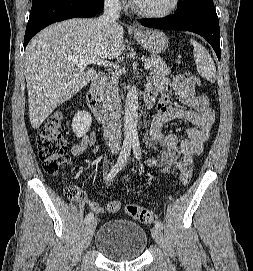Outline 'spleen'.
<instances>
[{
  "label": "spleen",
  "instance_id": "spleen-1",
  "mask_svg": "<svg viewBox=\"0 0 253 271\" xmlns=\"http://www.w3.org/2000/svg\"><path fill=\"white\" fill-rule=\"evenodd\" d=\"M193 45L194 60L197 65V71L199 75L205 78L207 81H216V67L213 59L201 44L197 41L190 40Z\"/></svg>",
  "mask_w": 253,
  "mask_h": 271
}]
</instances>
